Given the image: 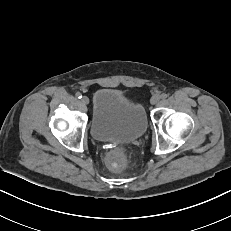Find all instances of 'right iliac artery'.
Masks as SVG:
<instances>
[{
  "label": "right iliac artery",
  "instance_id": "right-iliac-artery-1",
  "mask_svg": "<svg viewBox=\"0 0 231 231\" xmlns=\"http://www.w3.org/2000/svg\"><path fill=\"white\" fill-rule=\"evenodd\" d=\"M75 96H76L78 99H81V98H82V94H81L80 92H77V93L75 94Z\"/></svg>",
  "mask_w": 231,
  "mask_h": 231
}]
</instances>
